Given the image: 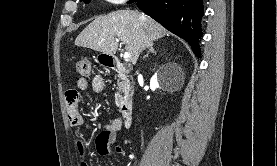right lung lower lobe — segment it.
Masks as SVG:
<instances>
[{"instance_id":"98d812e1","label":"right lung lower lobe","mask_w":277,"mask_h":166,"mask_svg":"<svg viewBox=\"0 0 277 166\" xmlns=\"http://www.w3.org/2000/svg\"><path fill=\"white\" fill-rule=\"evenodd\" d=\"M166 29L186 40L197 57H201L203 0H130Z\"/></svg>"}]
</instances>
